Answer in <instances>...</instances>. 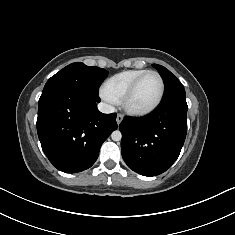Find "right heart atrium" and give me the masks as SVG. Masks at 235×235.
Returning <instances> with one entry per match:
<instances>
[{
  "mask_svg": "<svg viewBox=\"0 0 235 235\" xmlns=\"http://www.w3.org/2000/svg\"><path fill=\"white\" fill-rule=\"evenodd\" d=\"M100 96L109 105H113L116 103V100L111 95H109L103 88H101L100 90Z\"/></svg>",
  "mask_w": 235,
  "mask_h": 235,
  "instance_id": "1",
  "label": "right heart atrium"
}]
</instances>
